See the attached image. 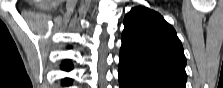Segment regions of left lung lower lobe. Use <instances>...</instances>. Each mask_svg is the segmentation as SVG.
<instances>
[{
	"label": "left lung lower lobe",
	"mask_w": 223,
	"mask_h": 88,
	"mask_svg": "<svg viewBox=\"0 0 223 88\" xmlns=\"http://www.w3.org/2000/svg\"><path fill=\"white\" fill-rule=\"evenodd\" d=\"M120 88H175L172 85L146 78L131 69L119 65Z\"/></svg>",
	"instance_id": "1"
}]
</instances>
